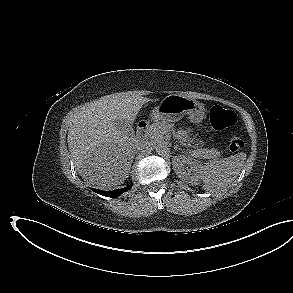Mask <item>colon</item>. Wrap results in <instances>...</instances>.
<instances>
[{
  "instance_id": "5ec220e1",
  "label": "colon",
  "mask_w": 293,
  "mask_h": 293,
  "mask_svg": "<svg viewBox=\"0 0 293 293\" xmlns=\"http://www.w3.org/2000/svg\"><path fill=\"white\" fill-rule=\"evenodd\" d=\"M209 115L212 127L220 131L232 127L237 121L235 112L220 105L212 106ZM244 145V141L238 136H232L228 142V148L233 153L242 150Z\"/></svg>"
}]
</instances>
